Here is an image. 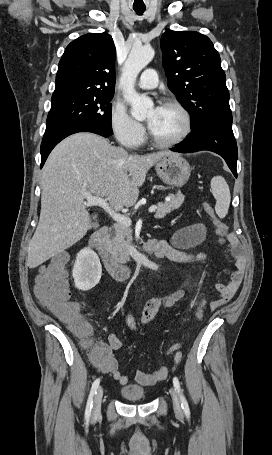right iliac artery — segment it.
<instances>
[{"label":"right iliac artery","mask_w":272,"mask_h":455,"mask_svg":"<svg viewBox=\"0 0 272 455\" xmlns=\"http://www.w3.org/2000/svg\"><path fill=\"white\" fill-rule=\"evenodd\" d=\"M99 383H100V379L98 378L92 384V388H91V391H90V394H89V397H88L86 410H85V419L87 421L89 420L90 415H91V409H92V406H93V397L95 396V394L97 392Z\"/></svg>","instance_id":"1"}]
</instances>
